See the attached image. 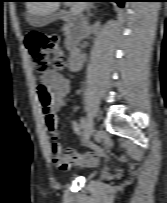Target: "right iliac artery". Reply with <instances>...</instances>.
Here are the masks:
<instances>
[{"label": "right iliac artery", "mask_w": 167, "mask_h": 203, "mask_svg": "<svg viewBox=\"0 0 167 203\" xmlns=\"http://www.w3.org/2000/svg\"><path fill=\"white\" fill-rule=\"evenodd\" d=\"M81 123V129H83L85 131L86 127H87V119L85 117H82L80 120Z\"/></svg>", "instance_id": "right-iliac-artery-1"}]
</instances>
